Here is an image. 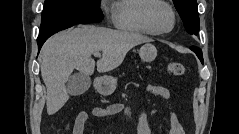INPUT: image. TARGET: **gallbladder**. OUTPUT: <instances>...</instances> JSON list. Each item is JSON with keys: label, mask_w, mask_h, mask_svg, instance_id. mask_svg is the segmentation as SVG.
<instances>
[{"label": "gallbladder", "mask_w": 239, "mask_h": 134, "mask_svg": "<svg viewBox=\"0 0 239 134\" xmlns=\"http://www.w3.org/2000/svg\"><path fill=\"white\" fill-rule=\"evenodd\" d=\"M91 84L90 77L82 74L76 73L70 76L67 82V90L73 96H79L87 91Z\"/></svg>", "instance_id": "obj_1"}]
</instances>
